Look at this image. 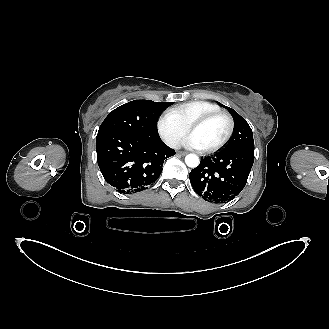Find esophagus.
<instances>
[{"label": "esophagus", "instance_id": "obj_1", "mask_svg": "<svg viewBox=\"0 0 329 329\" xmlns=\"http://www.w3.org/2000/svg\"><path fill=\"white\" fill-rule=\"evenodd\" d=\"M178 155H181V156H185L187 153L186 152H183V151H179L177 152Z\"/></svg>", "mask_w": 329, "mask_h": 329}]
</instances>
